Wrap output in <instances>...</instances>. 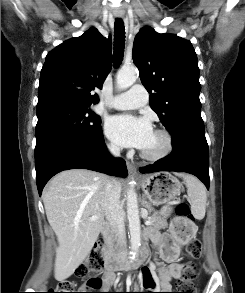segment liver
Wrapping results in <instances>:
<instances>
[{"mask_svg":"<svg viewBox=\"0 0 245 293\" xmlns=\"http://www.w3.org/2000/svg\"><path fill=\"white\" fill-rule=\"evenodd\" d=\"M108 180L94 171L71 169L57 174L44 189L47 220L59 244L56 280L69 278L90 254L106 216L104 196ZM93 216L97 218L92 219Z\"/></svg>","mask_w":245,"mask_h":293,"instance_id":"6515ba94","label":"liver"}]
</instances>
